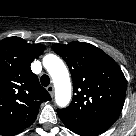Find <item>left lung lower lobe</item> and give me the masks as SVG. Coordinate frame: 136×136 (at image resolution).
<instances>
[{
	"instance_id": "obj_1",
	"label": "left lung lower lobe",
	"mask_w": 136,
	"mask_h": 136,
	"mask_svg": "<svg viewBox=\"0 0 136 136\" xmlns=\"http://www.w3.org/2000/svg\"><path fill=\"white\" fill-rule=\"evenodd\" d=\"M64 124L69 130L81 136H96L105 132L111 126V124L106 123H90V124L64 123Z\"/></svg>"
}]
</instances>
